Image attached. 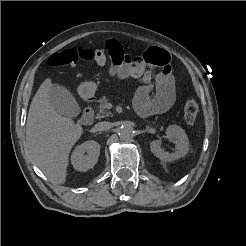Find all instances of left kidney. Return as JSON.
Masks as SVG:
<instances>
[{"mask_svg":"<svg viewBox=\"0 0 246 246\" xmlns=\"http://www.w3.org/2000/svg\"><path fill=\"white\" fill-rule=\"evenodd\" d=\"M166 137L171 139L176 145V151L174 153L165 152L161 148V141L154 140L150 143L151 152L162 161L171 162L184 157L189 150V140L185 131L177 126L170 125L166 129Z\"/></svg>","mask_w":246,"mask_h":246,"instance_id":"left-kidney-1","label":"left kidney"}]
</instances>
